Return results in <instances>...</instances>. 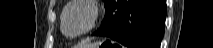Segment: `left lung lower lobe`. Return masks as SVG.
I'll list each match as a JSON object with an SVG mask.
<instances>
[{
  "mask_svg": "<svg viewBox=\"0 0 213 48\" xmlns=\"http://www.w3.org/2000/svg\"><path fill=\"white\" fill-rule=\"evenodd\" d=\"M165 0H110L94 35L107 36L127 48H159L164 34Z\"/></svg>",
  "mask_w": 213,
  "mask_h": 48,
  "instance_id": "0a47b994",
  "label": "left lung lower lobe"
}]
</instances>
